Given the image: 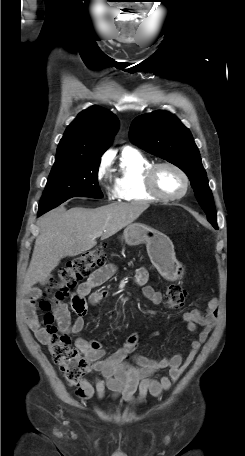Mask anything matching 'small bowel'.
Returning a JSON list of instances; mask_svg holds the SVG:
<instances>
[{"instance_id": "c3829d8e", "label": "small bowel", "mask_w": 245, "mask_h": 456, "mask_svg": "<svg viewBox=\"0 0 245 456\" xmlns=\"http://www.w3.org/2000/svg\"><path fill=\"white\" fill-rule=\"evenodd\" d=\"M116 272L114 264H107L93 271L88 279L81 283L71 299V306L77 317L71 321L67 305L62 304L58 310L60 330L69 334H78L84 327V315L87 311V303L97 305L107 297V291L94 290L110 279ZM149 273L147 269L140 268L135 274V282L142 286V295L153 304H160L163 300L161 291L148 285ZM40 296V289L33 288L27 297L23 311L24 318L34 332L36 338L42 344L49 343V334L41 326L35 303ZM219 312L217 298L209 300L206 310H192L182 316L186 327L190 332H196L198 326L202 327L198 338L191 341L190 352L184 357L177 353L162 359H151L134 354L139 336L132 332L126 338L123 346L109 356H105L102 344L96 340H87L78 337L75 345L81 351L86 360L92 363L93 369L101 374L92 382L82 380L77 389V395L82 399H91L96 396L103 399L107 391L112 392V397H123L130 403H141L148 395L160 397L170 390L184 370L193 362L202 344L215 326ZM162 369L168 370V375L160 379L153 375Z\"/></svg>"}]
</instances>
